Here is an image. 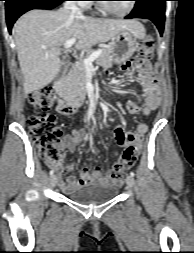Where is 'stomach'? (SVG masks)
<instances>
[{
    "label": "stomach",
    "instance_id": "obj_1",
    "mask_svg": "<svg viewBox=\"0 0 194 253\" xmlns=\"http://www.w3.org/2000/svg\"><path fill=\"white\" fill-rule=\"evenodd\" d=\"M135 38L131 31L122 30L112 39V56L116 64L123 63L133 55L136 49Z\"/></svg>",
    "mask_w": 194,
    "mask_h": 253
}]
</instances>
